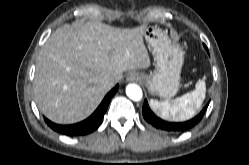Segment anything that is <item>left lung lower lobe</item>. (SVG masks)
Returning a JSON list of instances; mask_svg holds the SVG:
<instances>
[{
	"mask_svg": "<svg viewBox=\"0 0 249 165\" xmlns=\"http://www.w3.org/2000/svg\"><path fill=\"white\" fill-rule=\"evenodd\" d=\"M209 103L203 108V110L193 119L181 122V123H173V122H167L160 118H158L149 108V105L147 101H144V105L142 108V114L147 123H149L151 126L156 128L159 131L166 132V133H182L185 132L192 127H194L196 124L200 122L202 119L205 111L207 110Z\"/></svg>",
	"mask_w": 249,
	"mask_h": 165,
	"instance_id": "1",
	"label": "left lung lower lobe"
}]
</instances>
